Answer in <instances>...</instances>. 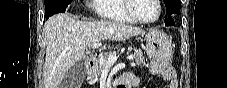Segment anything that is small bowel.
Here are the masks:
<instances>
[{"label": "small bowel", "mask_w": 227, "mask_h": 88, "mask_svg": "<svg viewBox=\"0 0 227 88\" xmlns=\"http://www.w3.org/2000/svg\"><path fill=\"white\" fill-rule=\"evenodd\" d=\"M164 77H165V79L170 81V88H177L178 87V82L174 78V74H173L172 69L167 68L164 72ZM121 79H124L125 81L130 80L132 82L131 86H125V87H132L135 84V79L132 76L125 75Z\"/></svg>", "instance_id": "obj_1"}]
</instances>
